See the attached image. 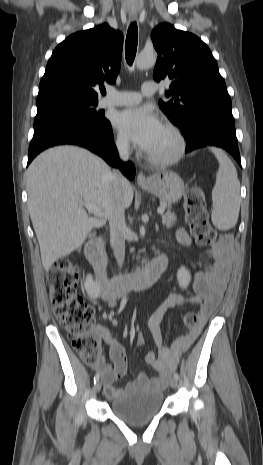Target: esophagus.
<instances>
[{"label": "esophagus", "mask_w": 263, "mask_h": 465, "mask_svg": "<svg viewBox=\"0 0 263 465\" xmlns=\"http://www.w3.org/2000/svg\"><path fill=\"white\" fill-rule=\"evenodd\" d=\"M136 18V16H131V19L134 20ZM137 183L139 185H145V184H148L149 183V179L142 173H138L137 175Z\"/></svg>", "instance_id": "esophagus-1"}]
</instances>
